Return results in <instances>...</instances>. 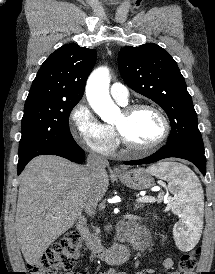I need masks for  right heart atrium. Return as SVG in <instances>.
Returning <instances> with one entry per match:
<instances>
[{"mask_svg": "<svg viewBox=\"0 0 215 274\" xmlns=\"http://www.w3.org/2000/svg\"><path fill=\"white\" fill-rule=\"evenodd\" d=\"M69 126L74 140L87 150L105 156L115 150L114 132L97 119L86 101L81 100L73 107Z\"/></svg>", "mask_w": 215, "mask_h": 274, "instance_id": "right-heart-atrium-1", "label": "right heart atrium"}]
</instances>
